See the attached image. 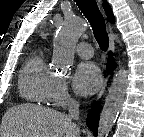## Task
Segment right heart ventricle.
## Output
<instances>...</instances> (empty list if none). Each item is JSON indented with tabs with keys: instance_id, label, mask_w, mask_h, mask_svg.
<instances>
[{
	"instance_id": "right-heart-ventricle-1",
	"label": "right heart ventricle",
	"mask_w": 144,
	"mask_h": 137,
	"mask_svg": "<svg viewBox=\"0 0 144 137\" xmlns=\"http://www.w3.org/2000/svg\"><path fill=\"white\" fill-rule=\"evenodd\" d=\"M56 75L48 67L42 50L32 52L19 75V92L23 99L37 104L51 100Z\"/></svg>"
}]
</instances>
